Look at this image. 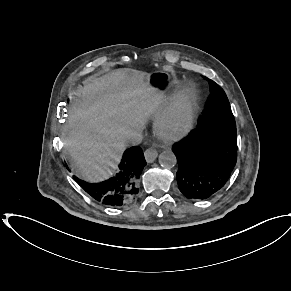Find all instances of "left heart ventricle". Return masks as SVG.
I'll return each mask as SVG.
<instances>
[{
    "label": "left heart ventricle",
    "instance_id": "obj_1",
    "mask_svg": "<svg viewBox=\"0 0 291 291\" xmlns=\"http://www.w3.org/2000/svg\"><path fill=\"white\" fill-rule=\"evenodd\" d=\"M179 122V118H177L176 120H174L170 126L168 127V130L171 131L174 129V127L177 125V123Z\"/></svg>",
    "mask_w": 291,
    "mask_h": 291
}]
</instances>
